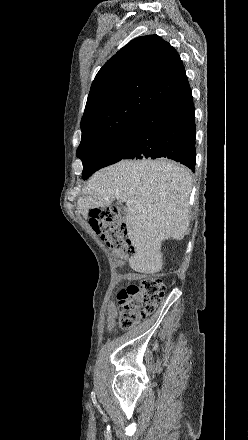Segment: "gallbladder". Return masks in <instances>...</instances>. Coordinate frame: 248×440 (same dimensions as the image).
I'll list each match as a JSON object with an SVG mask.
<instances>
[{
    "label": "gallbladder",
    "mask_w": 248,
    "mask_h": 440,
    "mask_svg": "<svg viewBox=\"0 0 248 440\" xmlns=\"http://www.w3.org/2000/svg\"><path fill=\"white\" fill-rule=\"evenodd\" d=\"M116 206H117V207H120V203L117 202V203H116Z\"/></svg>",
    "instance_id": "obj_1"
}]
</instances>
